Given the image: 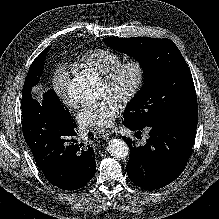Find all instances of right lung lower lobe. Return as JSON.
<instances>
[{"label": "right lung lower lobe", "instance_id": "98d812e1", "mask_svg": "<svg viewBox=\"0 0 219 219\" xmlns=\"http://www.w3.org/2000/svg\"><path fill=\"white\" fill-rule=\"evenodd\" d=\"M22 101L24 139L47 180L64 190L86 185L95 174V158L92 147L78 141L73 118L45 108L31 91Z\"/></svg>", "mask_w": 219, "mask_h": 219}]
</instances>
